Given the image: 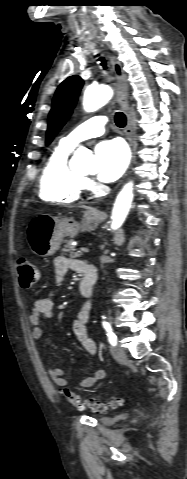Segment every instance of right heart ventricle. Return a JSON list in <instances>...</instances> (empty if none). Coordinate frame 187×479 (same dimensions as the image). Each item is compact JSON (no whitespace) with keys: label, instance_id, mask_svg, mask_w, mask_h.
<instances>
[{"label":"right heart ventricle","instance_id":"e07e8e85","mask_svg":"<svg viewBox=\"0 0 187 479\" xmlns=\"http://www.w3.org/2000/svg\"><path fill=\"white\" fill-rule=\"evenodd\" d=\"M73 147L62 141L49 154L39 180L41 199L53 203H72L79 199L84 177L69 165Z\"/></svg>","mask_w":187,"mask_h":479}]
</instances>
